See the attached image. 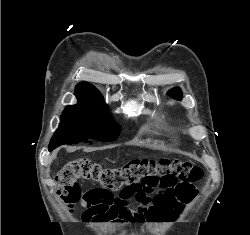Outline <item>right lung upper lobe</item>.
I'll return each instance as SVG.
<instances>
[{
    "mask_svg": "<svg viewBox=\"0 0 250 235\" xmlns=\"http://www.w3.org/2000/svg\"><path fill=\"white\" fill-rule=\"evenodd\" d=\"M75 94L79 102H103L99 91L93 85L87 82L78 84Z\"/></svg>",
    "mask_w": 250,
    "mask_h": 235,
    "instance_id": "right-lung-upper-lobe-1",
    "label": "right lung upper lobe"
}]
</instances>
